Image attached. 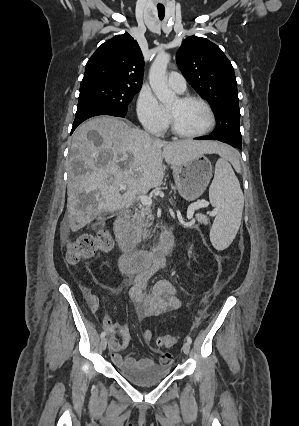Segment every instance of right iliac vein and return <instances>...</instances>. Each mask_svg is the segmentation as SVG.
<instances>
[{
    "instance_id": "obj_1",
    "label": "right iliac vein",
    "mask_w": 299,
    "mask_h": 426,
    "mask_svg": "<svg viewBox=\"0 0 299 426\" xmlns=\"http://www.w3.org/2000/svg\"><path fill=\"white\" fill-rule=\"evenodd\" d=\"M106 346H107V339H106V338H103V339L101 340V342H100V348H101L102 350H105V349H106Z\"/></svg>"
}]
</instances>
